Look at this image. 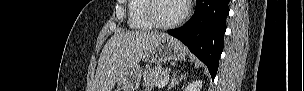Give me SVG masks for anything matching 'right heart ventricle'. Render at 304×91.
Instances as JSON below:
<instances>
[{
    "mask_svg": "<svg viewBox=\"0 0 304 91\" xmlns=\"http://www.w3.org/2000/svg\"><path fill=\"white\" fill-rule=\"evenodd\" d=\"M145 6L146 0L128 1V24L132 29L150 30L153 28L145 15Z\"/></svg>",
    "mask_w": 304,
    "mask_h": 91,
    "instance_id": "e07e8e85",
    "label": "right heart ventricle"
}]
</instances>
